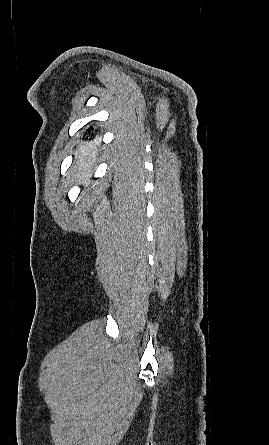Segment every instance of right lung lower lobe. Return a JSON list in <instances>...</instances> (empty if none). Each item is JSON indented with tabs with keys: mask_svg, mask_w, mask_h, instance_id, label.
Segmentation results:
<instances>
[{
	"mask_svg": "<svg viewBox=\"0 0 269 445\" xmlns=\"http://www.w3.org/2000/svg\"><path fill=\"white\" fill-rule=\"evenodd\" d=\"M91 129H92V127H91ZM88 130H90V129H88ZM88 133H90V131H88Z\"/></svg>",
	"mask_w": 269,
	"mask_h": 445,
	"instance_id": "98d812e1",
	"label": "right lung lower lobe"
}]
</instances>
